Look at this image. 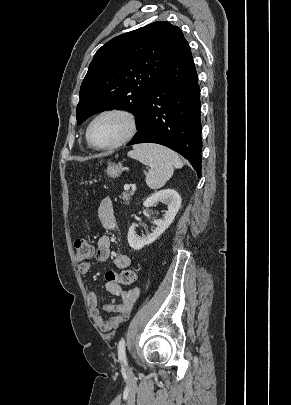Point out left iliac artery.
Segmentation results:
<instances>
[{"label": "left iliac artery", "instance_id": "left-iliac-artery-1", "mask_svg": "<svg viewBox=\"0 0 291 405\" xmlns=\"http://www.w3.org/2000/svg\"><path fill=\"white\" fill-rule=\"evenodd\" d=\"M118 358L122 363L127 364L124 339H121L118 344Z\"/></svg>", "mask_w": 291, "mask_h": 405}]
</instances>
